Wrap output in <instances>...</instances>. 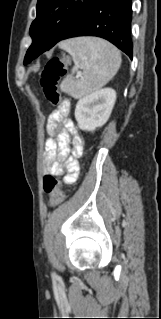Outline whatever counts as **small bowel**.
Masks as SVG:
<instances>
[{"label": "small bowel", "instance_id": "1", "mask_svg": "<svg viewBox=\"0 0 161 319\" xmlns=\"http://www.w3.org/2000/svg\"><path fill=\"white\" fill-rule=\"evenodd\" d=\"M67 103L69 104V102ZM47 131L50 137L45 144L46 174L62 176L66 184L76 182L79 178V165L76 158L82 154L83 139L78 134L75 124L58 107L48 118ZM71 135H73L72 139ZM70 144H72L71 147ZM70 153H72L73 158L67 159ZM64 160L68 173L64 172L60 163Z\"/></svg>", "mask_w": 161, "mask_h": 319}]
</instances>
